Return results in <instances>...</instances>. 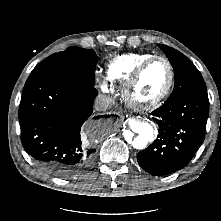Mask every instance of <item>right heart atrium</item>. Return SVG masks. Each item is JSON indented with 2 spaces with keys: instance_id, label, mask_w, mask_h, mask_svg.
<instances>
[{
  "instance_id": "d8ad5b80",
  "label": "right heart atrium",
  "mask_w": 221,
  "mask_h": 221,
  "mask_svg": "<svg viewBox=\"0 0 221 221\" xmlns=\"http://www.w3.org/2000/svg\"><path fill=\"white\" fill-rule=\"evenodd\" d=\"M100 87H101V89H102L103 91H107V90H108V85H107V83H106L105 81H103V82L101 83Z\"/></svg>"
}]
</instances>
